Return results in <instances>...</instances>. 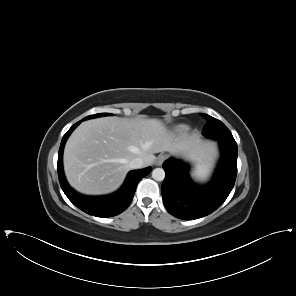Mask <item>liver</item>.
<instances>
[{
    "instance_id": "obj_1",
    "label": "liver",
    "mask_w": 296,
    "mask_h": 296,
    "mask_svg": "<svg viewBox=\"0 0 296 296\" xmlns=\"http://www.w3.org/2000/svg\"><path fill=\"white\" fill-rule=\"evenodd\" d=\"M164 151L203 160L214 146L196 133L176 137L159 119L103 117L85 121L73 131L64 149V171L77 191L108 194L121 186L131 160L142 158L143 167H148L154 154Z\"/></svg>"
}]
</instances>
